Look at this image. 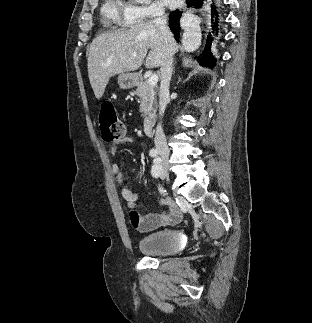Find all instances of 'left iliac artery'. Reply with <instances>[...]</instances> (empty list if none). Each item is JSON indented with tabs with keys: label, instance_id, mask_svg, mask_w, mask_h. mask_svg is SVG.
Wrapping results in <instances>:
<instances>
[{
	"label": "left iliac artery",
	"instance_id": "obj_1",
	"mask_svg": "<svg viewBox=\"0 0 312 323\" xmlns=\"http://www.w3.org/2000/svg\"><path fill=\"white\" fill-rule=\"evenodd\" d=\"M159 174H160V170L153 165L152 175L157 178L159 176Z\"/></svg>",
	"mask_w": 312,
	"mask_h": 323
}]
</instances>
